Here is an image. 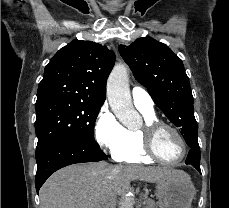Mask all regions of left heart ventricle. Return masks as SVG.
Returning a JSON list of instances; mask_svg holds the SVG:
<instances>
[{
  "instance_id": "obj_1",
  "label": "left heart ventricle",
  "mask_w": 229,
  "mask_h": 208,
  "mask_svg": "<svg viewBox=\"0 0 229 208\" xmlns=\"http://www.w3.org/2000/svg\"><path fill=\"white\" fill-rule=\"evenodd\" d=\"M169 131L170 129H162L159 131L157 139H153V152H158V157H161V160H177L185 153V147H178V143L174 142Z\"/></svg>"
}]
</instances>
